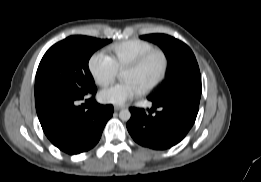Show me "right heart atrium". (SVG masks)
I'll list each match as a JSON object with an SVG mask.
<instances>
[{
  "mask_svg": "<svg viewBox=\"0 0 261 182\" xmlns=\"http://www.w3.org/2000/svg\"><path fill=\"white\" fill-rule=\"evenodd\" d=\"M88 70L96 85L106 87L117 77L118 70L108 55L102 51L95 52L89 58Z\"/></svg>",
  "mask_w": 261,
  "mask_h": 182,
  "instance_id": "d8ad5b80",
  "label": "right heart atrium"
}]
</instances>
